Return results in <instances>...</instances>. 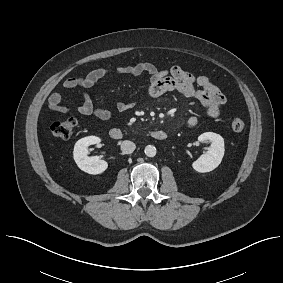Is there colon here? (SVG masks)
Masks as SVG:
<instances>
[{"label": "colon", "instance_id": "obj_1", "mask_svg": "<svg viewBox=\"0 0 283 283\" xmlns=\"http://www.w3.org/2000/svg\"><path fill=\"white\" fill-rule=\"evenodd\" d=\"M77 122L74 118H66L53 123L51 130L52 134L59 139H69L76 128ZM245 127V123L242 119H234L232 121V129L236 132L242 131Z\"/></svg>", "mask_w": 283, "mask_h": 283}]
</instances>
